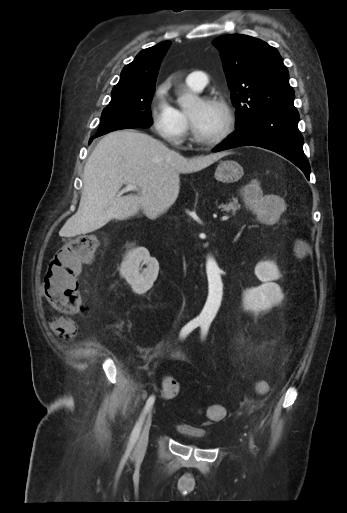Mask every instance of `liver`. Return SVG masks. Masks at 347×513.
Returning <instances> with one entry per match:
<instances>
[{
    "label": "liver",
    "instance_id": "obj_1",
    "mask_svg": "<svg viewBox=\"0 0 347 513\" xmlns=\"http://www.w3.org/2000/svg\"><path fill=\"white\" fill-rule=\"evenodd\" d=\"M230 152H217L187 159L162 142L135 130H117L105 135L88 158L83 174V191L77 212L59 235L74 237L93 232L110 220H124L140 210L156 219L166 202H175L180 173L208 167ZM123 184L139 192L120 196Z\"/></svg>",
    "mask_w": 347,
    "mask_h": 513
}]
</instances>
